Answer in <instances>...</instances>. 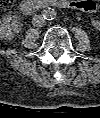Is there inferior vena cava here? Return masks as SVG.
Returning a JSON list of instances; mask_svg holds the SVG:
<instances>
[{"label":"inferior vena cava","mask_w":100,"mask_h":118,"mask_svg":"<svg viewBox=\"0 0 100 118\" xmlns=\"http://www.w3.org/2000/svg\"><path fill=\"white\" fill-rule=\"evenodd\" d=\"M32 24L35 27H43L46 24V19L43 15H34L32 19Z\"/></svg>","instance_id":"602c4592"}]
</instances>
